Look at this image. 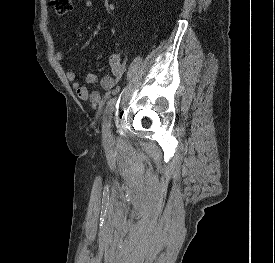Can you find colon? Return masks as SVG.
<instances>
[{
	"label": "colon",
	"mask_w": 275,
	"mask_h": 263,
	"mask_svg": "<svg viewBox=\"0 0 275 263\" xmlns=\"http://www.w3.org/2000/svg\"><path fill=\"white\" fill-rule=\"evenodd\" d=\"M51 4L57 15H64L71 11L74 0H51Z\"/></svg>",
	"instance_id": "obj_1"
}]
</instances>
